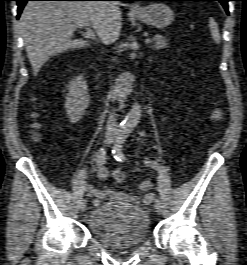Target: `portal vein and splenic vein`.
<instances>
[{"label":"portal vein and splenic vein","mask_w":247,"mask_h":265,"mask_svg":"<svg viewBox=\"0 0 247 265\" xmlns=\"http://www.w3.org/2000/svg\"><path fill=\"white\" fill-rule=\"evenodd\" d=\"M84 36H85L86 38H89V39H95V35H94V33L92 32V30L90 29V27L87 28L86 33H85ZM150 43H152V40L147 39V40H146V44H150Z\"/></svg>","instance_id":"portal-vein-and-splenic-vein-1"}]
</instances>
